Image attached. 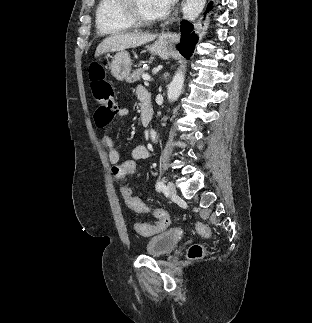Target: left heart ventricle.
Wrapping results in <instances>:
<instances>
[{
    "label": "left heart ventricle",
    "instance_id": "1",
    "mask_svg": "<svg viewBox=\"0 0 312 323\" xmlns=\"http://www.w3.org/2000/svg\"><path fill=\"white\" fill-rule=\"evenodd\" d=\"M135 14H141L142 18H153L154 7H151L150 2H139L138 7H135Z\"/></svg>",
    "mask_w": 312,
    "mask_h": 323
}]
</instances>
